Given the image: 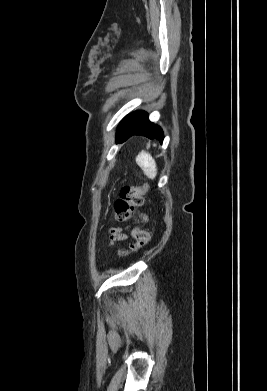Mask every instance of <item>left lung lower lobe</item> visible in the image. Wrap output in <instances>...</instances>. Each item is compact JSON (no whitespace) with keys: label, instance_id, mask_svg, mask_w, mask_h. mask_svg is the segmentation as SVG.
<instances>
[{"label":"left lung lower lobe","instance_id":"0a47b994","mask_svg":"<svg viewBox=\"0 0 267 391\" xmlns=\"http://www.w3.org/2000/svg\"><path fill=\"white\" fill-rule=\"evenodd\" d=\"M132 135L146 136L150 139L163 141L162 129L148 120L147 113L136 111L127 115L119 124L116 142L122 143Z\"/></svg>","mask_w":267,"mask_h":391}]
</instances>
